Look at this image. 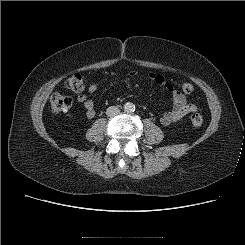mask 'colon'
Masks as SVG:
<instances>
[{"label":"colon","mask_w":245,"mask_h":245,"mask_svg":"<svg viewBox=\"0 0 245 245\" xmlns=\"http://www.w3.org/2000/svg\"><path fill=\"white\" fill-rule=\"evenodd\" d=\"M66 87L76 93H81L84 89V81L80 74H74L70 76L66 81ZM182 92L189 95L193 92V85L190 83H184L181 87ZM72 105V99L68 96L61 94H54L50 99V107L52 112L59 114L64 113L70 109ZM191 123L194 127H200L203 123V118L199 113H193L191 115Z\"/></svg>","instance_id":"obj_1"}]
</instances>
